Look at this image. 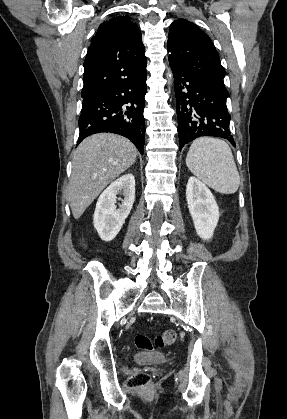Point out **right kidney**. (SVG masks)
I'll return each mask as SVG.
<instances>
[{"label":"right kidney","mask_w":287,"mask_h":419,"mask_svg":"<svg viewBox=\"0 0 287 419\" xmlns=\"http://www.w3.org/2000/svg\"><path fill=\"white\" fill-rule=\"evenodd\" d=\"M123 191L124 199L119 208L116 199ZM135 200V178L125 174L111 183L98 198L94 212V227L103 241H111L121 230L125 219L130 214Z\"/></svg>","instance_id":"obj_1"}]
</instances>
